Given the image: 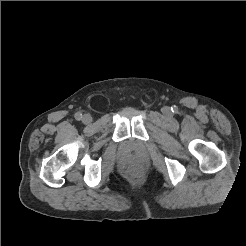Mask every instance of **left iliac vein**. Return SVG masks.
I'll use <instances>...</instances> for the list:
<instances>
[{
  "label": "left iliac vein",
  "instance_id": "left-iliac-vein-1",
  "mask_svg": "<svg viewBox=\"0 0 246 246\" xmlns=\"http://www.w3.org/2000/svg\"><path fill=\"white\" fill-rule=\"evenodd\" d=\"M162 112L165 114V115H169L170 114V108L169 107H164Z\"/></svg>",
  "mask_w": 246,
  "mask_h": 246
}]
</instances>
